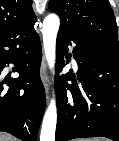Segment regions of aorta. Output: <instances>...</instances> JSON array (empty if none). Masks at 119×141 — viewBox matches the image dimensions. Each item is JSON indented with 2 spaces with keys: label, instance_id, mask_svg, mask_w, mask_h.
Instances as JSON below:
<instances>
[{
  "label": "aorta",
  "instance_id": "aorta-1",
  "mask_svg": "<svg viewBox=\"0 0 119 141\" xmlns=\"http://www.w3.org/2000/svg\"><path fill=\"white\" fill-rule=\"evenodd\" d=\"M60 26V19L55 14H50L45 17L43 21V44L45 56L48 65L51 69L55 66V49H56V37ZM57 122V108L56 101L53 98L45 112L40 141H55V129Z\"/></svg>",
  "mask_w": 119,
  "mask_h": 141
}]
</instances>
